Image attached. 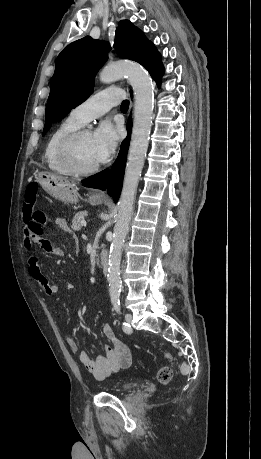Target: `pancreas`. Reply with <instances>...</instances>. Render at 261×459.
<instances>
[{"label": "pancreas", "mask_w": 261, "mask_h": 459, "mask_svg": "<svg viewBox=\"0 0 261 459\" xmlns=\"http://www.w3.org/2000/svg\"><path fill=\"white\" fill-rule=\"evenodd\" d=\"M88 215V212L87 211H81V212H78L73 220H72V225H71V228L74 230V231H78L80 230V226H81V221L84 220V218Z\"/></svg>", "instance_id": "1"}]
</instances>
